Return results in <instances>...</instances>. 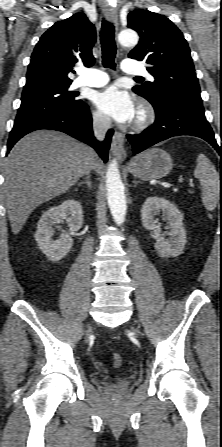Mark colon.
Segmentation results:
<instances>
[{
	"label": "colon",
	"instance_id": "1",
	"mask_svg": "<svg viewBox=\"0 0 222 447\" xmlns=\"http://www.w3.org/2000/svg\"><path fill=\"white\" fill-rule=\"evenodd\" d=\"M112 362L114 367H119L122 364V358L118 353L112 355Z\"/></svg>",
	"mask_w": 222,
	"mask_h": 447
}]
</instances>
